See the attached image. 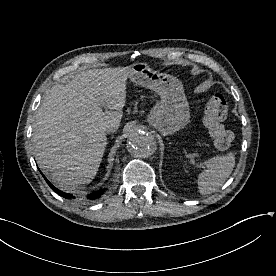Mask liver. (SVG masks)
<instances>
[{
	"label": "liver",
	"instance_id": "1",
	"mask_svg": "<svg viewBox=\"0 0 276 276\" xmlns=\"http://www.w3.org/2000/svg\"><path fill=\"white\" fill-rule=\"evenodd\" d=\"M130 74L131 66L82 71L44 97L32 141L39 168L59 189L73 192L96 176L107 145L103 127L120 124Z\"/></svg>",
	"mask_w": 276,
	"mask_h": 276
}]
</instances>
